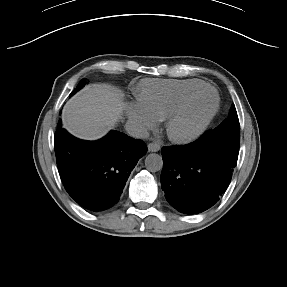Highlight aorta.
I'll list each match as a JSON object with an SVG mask.
<instances>
[{"label":"aorta","instance_id":"762f6f07","mask_svg":"<svg viewBox=\"0 0 287 287\" xmlns=\"http://www.w3.org/2000/svg\"><path fill=\"white\" fill-rule=\"evenodd\" d=\"M145 167L150 172L160 171L163 167V160L159 154L150 153L145 158Z\"/></svg>","mask_w":287,"mask_h":287}]
</instances>
